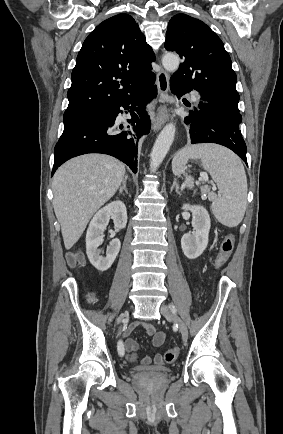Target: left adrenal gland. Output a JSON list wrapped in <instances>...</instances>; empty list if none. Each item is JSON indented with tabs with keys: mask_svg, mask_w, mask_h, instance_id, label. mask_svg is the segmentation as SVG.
<instances>
[{
	"mask_svg": "<svg viewBox=\"0 0 283 434\" xmlns=\"http://www.w3.org/2000/svg\"><path fill=\"white\" fill-rule=\"evenodd\" d=\"M173 189H175V192H176L178 195H181V192H180V190H179V185H178L176 179H174V181H173V185H172L170 191L172 192Z\"/></svg>",
	"mask_w": 283,
	"mask_h": 434,
	"instance_id": "1",
	"label": "left adrenal gland"
}]
</instances>
